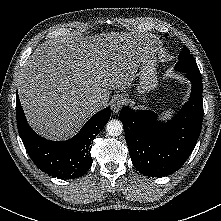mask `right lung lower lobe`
<instances>
[{"label":"right lung lower lobe","mask_w":221,"mask_h":221,"mask_svg":"<svg viewBox=\"0 0 221 221\" xmlns=\"http://www.w3.org/2000/svg\"><path fill=\"white\" fill-rule=\"evenodd\" d=\"M110 115L107 107L89 119L73 138L50 141L36 134L28 125L18 95L16 97L17 127L27 153L40 170L57 178H78L90 169L93 140Z\"/></svg>","instance_id":"right-lung-lower-lobe-1"}]
</instances>
